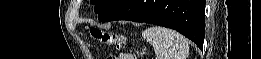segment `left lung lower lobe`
<instances>
[{
  "mask_svg": "<svg viewBox=\"0 0 261 59\" xmlns=\"http://www.w3.org/2000/svg\"><path fill=\"white\" fill-rule=\"evenodd\" d=\"M205 0H121L100 16L101 21L131 20L174 29L202 49Z\"/></svg>",
  "mask_w": 261,
  "mask_h": 59,
  "instance_id": "left-lung-lower-lobe-1",
  "label": "left lung lower lobe"
}]
</instances>
